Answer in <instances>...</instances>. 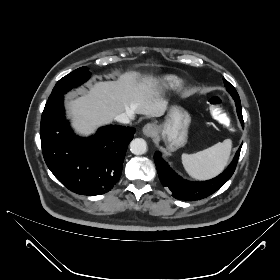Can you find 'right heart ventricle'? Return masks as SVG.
I'll return each mask as SVG.
<instances>
[{
	"label": "right heart ventricle",
	"instance_id": "obj_1",
	"mask_svg": "<svg viewBox=\"0 0 280 280\" xmlns=\"http://www.w3.org/2000/svg\"><path fill=\"white\" fill-rule=\"evenodd\" d=\"M165 82H166V85L169 86V87H174V86H177L179 84L178 79H176L173 76L165 77Z\"/></svg>",
	"mask_w": 280,
	"mask_h": 280
}]
</instances>
